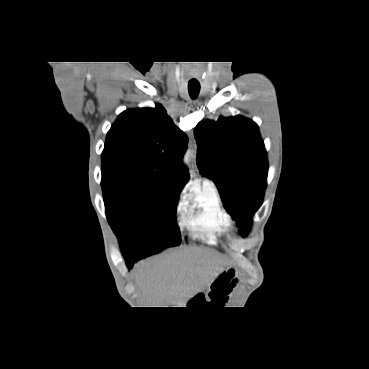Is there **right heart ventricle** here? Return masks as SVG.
<instances>
[{"label":"right heart ventricle","mask_w":369,"mask_h":369,"mask_svg":"<svg viewBox=\"0 0 369 369\" xmlns=\"http://www.w3.org/2000/svg\"><path fill=\"white\" fill-rule=\"evenodd\" d=\"M182 223L194 237L209 244H215L231 227L218 191L205 184L188 199Z\"/></svg>","instance_id":"obj_1"}]
</instances>
